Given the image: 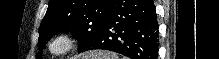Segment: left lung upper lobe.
<instances>
[{"label":"left lung upper lobe","mask_w":219,"mask_h":59,"mask_svg":"<svg viewBox=\"0 0 219 59\" xmlns=\"http://www.w3.org/2000/svg\"><path fill=\"white\" fill-rule=\"evenodd\" d=\"M114 0H49L48 9L39 28L41 59L46 42L58 32L72 29L82 50L98 35Z\"/></svg>","instance_id":"5c2ea615"}]
</instances>
